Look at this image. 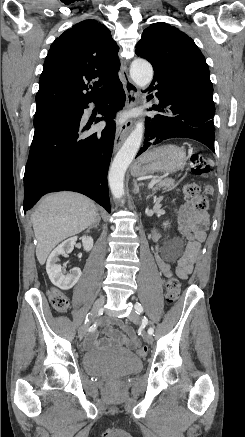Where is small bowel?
Listing matches in <instances>:
<instances>
[{
    "mask_svg": "<svg viewBox=\"0 0 245 437\" xmlns=\"http://www.w3.org/2000/svg\"><path fill=\"white\" fill-rule=\"evenodd\" d=\"M175 218L179 233L186 239L185 251L178 261L175 273L180 278H186L191 274L193 264L199 258L201 244L206 239L209 215L206 212L198 211L191 202H188L175 211ZM154 238L156 240L161 239V234L155 233ZM155 258L163 275L166 277L171 276L173 273L172 268L161 257L159 248H156ZM106 333L114 342L127 348H135L140 343L138 337L130 328H127L128 337H126L107 324ZM96 344V332H92L86 341V346L93 347Z\"/></svg>",
    "mask_w": 245,
    "mask_h": 437,
    "instance_id": "1",
    "label": "small bowel"
}]
</instances>
